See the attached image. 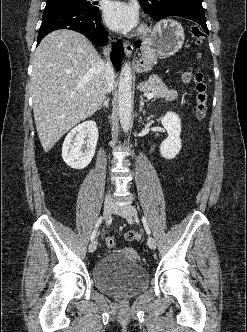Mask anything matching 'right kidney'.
I'll use <instances>...</instances> for the list:
<instances>
[{
  "label": "right kidney",
  "mask_w": 247,
  "mask_h": 332,
  "mask_svg": "<svg viewBox=\"0 0 247 332\" xmlns=\"http://www.w3.org/2000/svg\"><path fill=\"white\" fill-rule=\"evenodd\" d=\"M87 138L85 141L84 139ZM98 141V129L94 121H85L73 128L62 147L64 162L73 169H84L91 162Z\"/></svg>",
  "instance_id": "ca27d5eb"
}]
</instances>
